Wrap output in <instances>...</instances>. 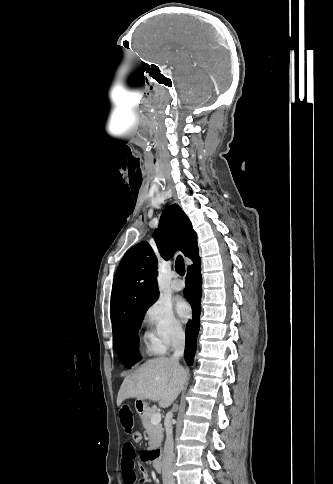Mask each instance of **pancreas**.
I'll return each mask as SVG.
<instances>
[{"label": "pancreas", "instance_id": "pancreas-1", "mask_svg": "<svg viewBox=\"0 0 333 484\" xmlns=\"http://www.w3.org/2000/svg\"><path fill=\"white\" fill-rule=\"evenodd\" d=\"M157 412V407L153 406L148 408L147 411L141 416L143 427L148 435L149 450H152L161 445L163 440V427L162 424H151V417Z\"/></svg>", "mask_w": 333, "mask_h": 484}]
</instances>
